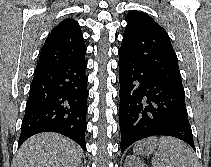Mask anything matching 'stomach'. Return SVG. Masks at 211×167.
I'll use <instances>...</instances> for the list:
<instances>
[{
    "mask_svg": "<svg viewBox=\"0 0 211 167\" xmlns=\"http://www.w3.org/2000/svg\"><path fill=\"white\" fill-rule=\"evenodd\" d=\"M157 147H158V140L156 138H149L139 142L135 146L134 152L142 156H147L152 152L156 151Z\"/></svg>",
    "mask_w": 211,
    "mask_h": 167,
    "instance_id": "obj_1",
    "label": "stomach"
}]
</instances>
